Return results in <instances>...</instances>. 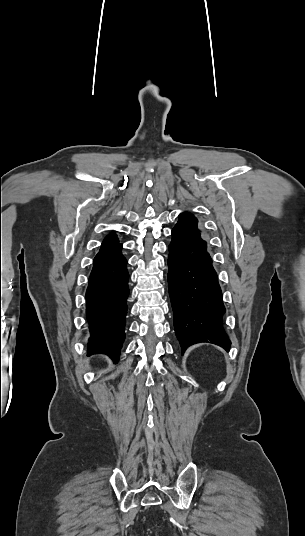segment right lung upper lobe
<instances>
[{
  "label": "right lung upper lobe",
  "instance_id": "cb5924a9",
  "mask_svg": "<svg viewBox=\"0 0 305 536\" xmlns=\"http://www.w3.org/2000/svg\"><path fill=\"white\" fill-rule=\"evenodd\" d=\"M119 244L120 243H118V239L115 236V234H110L103 240V243H102L100 251L108 249V248H111V247H114V246H117Z\"/></svg>",
  "mask_w": 305,
  "mask_h": 536
}]
</instances>
